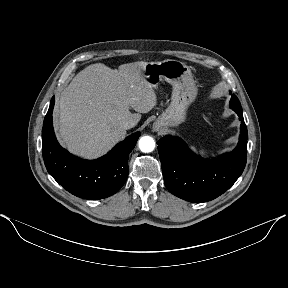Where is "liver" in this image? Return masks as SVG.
<instances>
[{
	"mask_svg": "<svg viewBox=\"0 0 288 288\" xmlns=\"http://www.w3.org/2000/svg\"><path fill=\"white\" fill-rule=\"evenodd\" d=\"M147 62L111 69L96 63L79 72L59 99L55 121L60 141L70 152L97 158L126 135L124 122L141 119L156 104L153 86L142 71ZM130 107L138 113L132 114Z\"/></svg>",
	"mask_w": 288,
	"mask_h": 288,
	"instance_id": "liver-1",
	"label": "liver"
}]
</instances>
